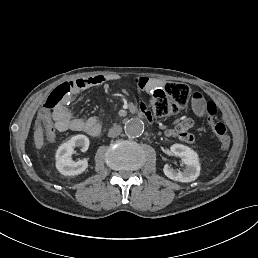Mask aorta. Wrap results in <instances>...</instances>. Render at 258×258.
<instances>
[{
	"instance_id": "aorta-1",
	"label": "aorta",
	"mask_w": 258,
	"mask_h": 258,
	"mask_svg": "<svg viewBox=\"0 0 258 258\" xmlns=\"http://www.w3.org/2000/svg\"><path fill=\"white\" fill-rule=\"evenodd\" d=\"M124 130L128 137L137 138L144 132V123L138 118H131L125 123Z\"/></svg>"
}]
</instances>
